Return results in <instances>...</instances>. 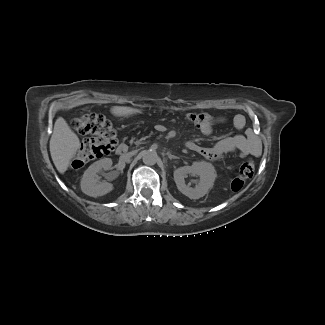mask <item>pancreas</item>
<instances>
[{"label":"pancreas","mask_w":325,"mask_h":325,"mask_svg":"<svg viewBox=\"0 0 325 325\" xmlns=\"http://www.w3.org/2000/svg\"><path fill=\"white\" fill-rule=\"evenodd\" d=\"M133 145H134L135 147H138V146L140 145V141L135 140V141L133 142Z\"/></svg>","instance_id":"1"}]
</instances>
